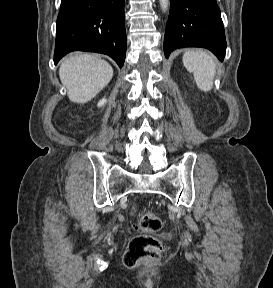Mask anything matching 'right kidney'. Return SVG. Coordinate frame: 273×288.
I'll return each mask as SVG.
<instances>
[{"mask_svg": "<svg viewBox=\"0 0 273 288\" xmlns=\"http://www.w3.org/2000/svg\"><path fill=\"white\" fill-rule=\"evenodd\" d=\"M106 102H107V100H106L105 98H103L102 100H100V101L98 102V107L103 106Z\"/></svg>", "mask_w": 273, "mask_h": 288, "instance_id": "1", "label": "right kidney"}]
</instances>
